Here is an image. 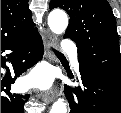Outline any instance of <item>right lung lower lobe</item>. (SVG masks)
I'll list each match as a JSON object with an SVG mask.
<instances>
[{
    "mask_svg": "<svg viewBox=\"0 0 121 113\" xmlns=\"http://www.w3.org/2000/svg\"><path fill=\"white\" fill-rule=\"evenodd\" d=\"M5 50L12 52L9 55L3 56L2 53ZM42 56V39L35 31L17 41L1 46V67L5 66V61L12 60L11 63L16 78L37 63ZM15 78H12L11 74L7 73L1 80V92L6 93L1 94V113H23L24 103L28 100L29 96L10 93L11 84L15 82Z\"/></svg>",
    "mask_w": 121,
    "mask_h": 113,
    "instance_id": "1",
    "label": "right lung lower lobe"
}]
</instances>
